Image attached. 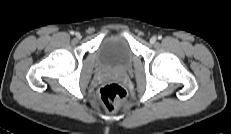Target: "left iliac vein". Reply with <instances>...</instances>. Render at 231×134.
Listing matches in <instances>:
<instances>
[{"instance_id":"1","label":"left iliac vein","mask_w":231,"mask_h":134,"mask_svg":"<svg viewBox=\"0 0 231 134\" xmlns=\"http://www.w3.org/2000/svg\"><path fill=\"white\" fill-rule=\"evenodd\" d=\"M157 38L155 36L150 38V43L154 44L156 42Z\"/></svg>"}]
</instances>
